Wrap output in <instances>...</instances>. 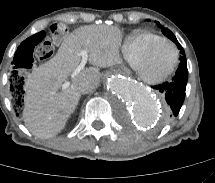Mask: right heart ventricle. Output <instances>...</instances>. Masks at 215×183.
I'll list each match as a JSON object with an SVG mask.
<instances>
[{
  "instance_id": "e07e8e85",
  "label": "right heart ventricle",
  "mask_w": 215,
  "mask_h": 183,
  "mask_svg": "<svg viewBox=\"0 0 215 183\" xmlns=\"http://www.w3.org/2000/svg\"><path fill=\"white\" fill-rule=\"evenodd\" d=\"M158 34L147 31H133L122 45V53L127 62L133 66L138 56L153 42L161 39Z\"/></svg>"
}]
</instances>
